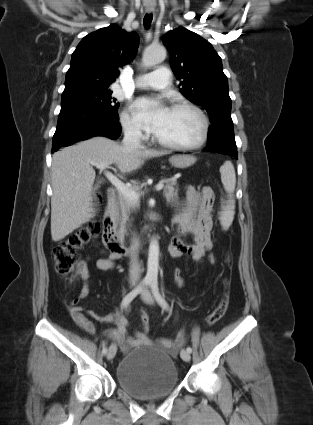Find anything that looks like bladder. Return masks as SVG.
Segmentation results:
<instances>
[{
    "mask_svg": "<svg viewBox=\"0 0 313 425\" xmlns=\"http://www.w3.org/2000/svg\"><path fill=\"white\" fill-rule=\"evenodd\" d=\"M118 385L132 397L152 400L171 393L178 385V371L168 350L143 346L123 356L116 368Z\"/></svg>",
    "mask_w": 313,
    "mask_h": 425,
    "instance_id": "1",
    "label": "bladder"
}]
</instances>
